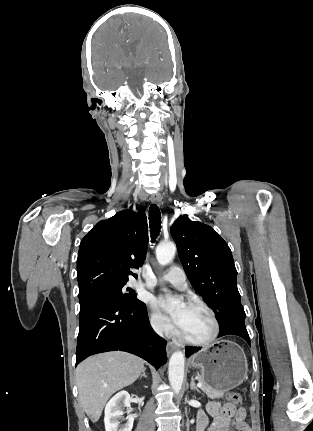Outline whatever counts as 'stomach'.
<instances>
[{
	"instance_id": "obj_1",
	"label": "stomach",
	"mask_w": 313,
	"mask_h": 431,
	"mask_svg": "<svg viewBox=\"0 0 313 431\" xmlns=\"http://www.w3.org/2000/svg\"><path fill=\"white\" fill-rule=\"evenodd\" d=\"M189 365L200 370L203 383L224 392L242 384L248 371L244 351L229 340L201 349L189 359Z\"/></svg>"
}]
</instances>
